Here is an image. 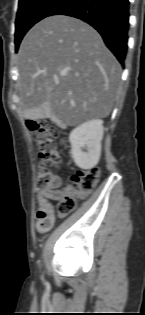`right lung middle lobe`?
Returning <instances> with one entry per match:
<instances>
[{
	"label": "right lung middle lobe",
	"mask_w": 145,
	"mask_h": 315,
	"mask_svg": "<svg viewBox=\"0 0 145 315\" xmlns=\"http://www.w3.org/2000/svg\"><path fill=\"white\" fill-rule=\"evenodd\" d=\"M66 0H19L16 17L15 50L17 52L19 44L26 32L37 22L61 6Z\"/></svg>",
	"instance_id": "obj_1"
}]
</instances>
